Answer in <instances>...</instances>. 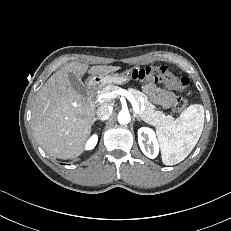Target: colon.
Here are the masks:
<instances>
[{
	"instance_id": "colon-1",
	"label": "colon",
	"mask_w": 231,
	"mask_h": 231,
	"mask_svg": "<svg viewBox=\"0 0 231 231\" xmlns=\"http://www.w3.org/2000/svg\"><path fill=\"white\" fill-rule=\"evenodd\" d=\"M131 77L137 81L158 82L162 81L178 91H184L189 85L187 77L176 76L165 64L151 65L144 68L135 69ZM187 107V100L183 97H177L173 105L175 113H181Z\"/></svg>"
}]
</instances>
